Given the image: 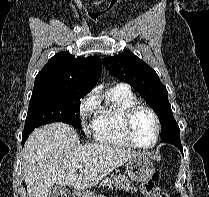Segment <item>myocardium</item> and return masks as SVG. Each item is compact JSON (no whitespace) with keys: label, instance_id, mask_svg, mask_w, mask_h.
<instances>
[{"label":"myocardium","instance_id":"myocardium-1","mask_svg":"<svg viewBox=\"0 0 209 197\" xmlns=\"http://www.w3.org/2000/svg\"><path fill=\"white\" fill-rule=\"evenodd\" d=\"M140 109H144V110L148 111L154 119L155 136H154L153 142L149 145H141V144L137 143L133 137V132H132L133 117H134V114ZM160 130H161V126H160L159 116L156 113V111L152 107H150L149 105L136 101L135 103L131 104L125 110L124 115H123V131H124L126 139L130 143V145H132L136 148H139V149H145V150L151 149V148L155 147L159 141Z\"/></svg>","mask_w":209,"mask_h":197}]
</instances>
